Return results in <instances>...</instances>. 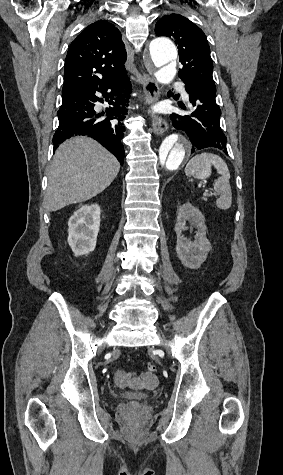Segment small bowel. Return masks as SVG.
Listing matches in <instances>:
<instances>
[{"label": "small bowel", "mask_w": 283, "mask_h": 475, "mask_svg": "<svg viewBox=\"0 0 283 475\" xmlns=\"http://www.w3.org/2000/svg\"><path fill=\"white\" fill-rule=\"evenodd\" d=\"M114 379L116 385L121 388L128 387L131 383V377L129 373L125 372L124 370H117ZM141 382L145 387L151 388L157 384V377L154 374H145Z\"/></svg>", "instance_id": "c3829d8e"}]
</instances>
